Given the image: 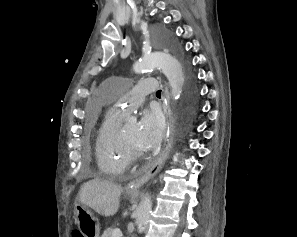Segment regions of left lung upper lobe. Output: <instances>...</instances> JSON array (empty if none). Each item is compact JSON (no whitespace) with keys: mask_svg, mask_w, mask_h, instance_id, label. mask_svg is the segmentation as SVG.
<instances>
[{"mask_svg":"<svg viewBox=\"0 0 297 237\" xmlns=\"http://www.w3.org/2000/svg\"><path fill=\"white\" fill-rule=\"evenodd\" d=\"M189 82H190V93L194 95L195 87L193 83V76L191 74L189 75Z\"/></svg>","mask_w":297,"mask_h":237,"instance_id":"obj_1","label":"left lung upper lobe"}]
</instances>
